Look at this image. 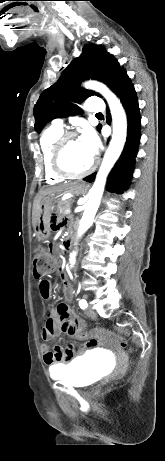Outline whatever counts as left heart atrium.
<instances>
[{
	"label": "left heart atrium",
	"mask_w": 165,
	"mask_h": 461,
	"mask_svg": "<svg viewBox=\"0 0 165 461\" xmlns=\"http://www.w3.org/2000/svg\"><path fill=\"white\" fill-rule=\"evenodd\" d=\"M81 143L91 155H95L98 149L99 140L93 130L87 128L79 137Z\"/></svg>",
	"instance_id": "1"
}]
</instances>
